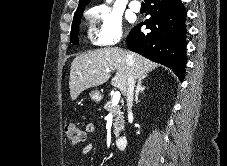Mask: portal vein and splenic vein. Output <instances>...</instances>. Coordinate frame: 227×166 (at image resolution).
I'll return each mask as SVG.
<instances>
[{
  "mask_svg": "<svg viewBox=\"0 0 227 166\" xmlns=\"http://www.w3.org/2000/svg\"><path fill=\"white\" fill-rule=\"evenodd\" d=\"M120 98H121V94L119 91H117L114 95H113V98H112V105L113 106H116L118 105L119 101H120Z\"/></svg>",
  "mask_w": 227,
  "mask_h": 166,
  "instance_id": "1",
  "label": "portal vein and splenic vein"
}]
</instances>
